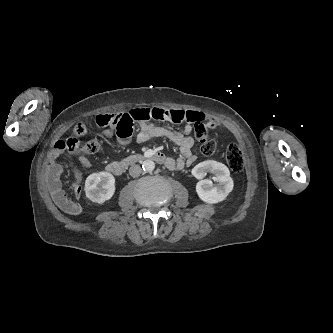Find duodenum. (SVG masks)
Here are the masks:
<instances>
[{
  "label": "duodenum",
  "instance_id": "1",
  "mask_svg": "<svg viewBox=\"0 0 333 333\" xmlns=\"http://www.w3.org/2000/svg\"><path fill=\"white\" fill-rule=\"evenodd\" d=\"M146 159H152L161 164L167 163V157H165V155H163L162 153H154V154L144 155V156L136 155V156L128 157L124 161H112L107 165L106 170L116 176H119V175H122L126 171V169L129 165L142 161V160H146Z\"/></svg>",
  "mask_w": 333,
  "mask_h": 333
}]
</instances>
